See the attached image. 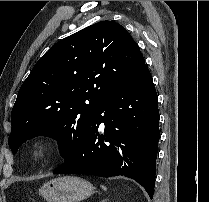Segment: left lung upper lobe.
Segmentation results:
<instances>
[{"mask_svg": "<svg viewBox=\"0 0 209 202\" xmlns=\"http://www.w3.org/2000/svg\"><path fill=\"white\" fill-rule=\"evenodd\" d=\"M144 65L137 43L116 22H98L57 42L18 92L8 139L13 154L43 135L57 140L65 160L84 138L96 105Z\"/></svg>", "mask_w": 209, "mask_h": 202, "instance_id": "5c2ea615", "label": "left lung upper lobe"}]
</instances>
